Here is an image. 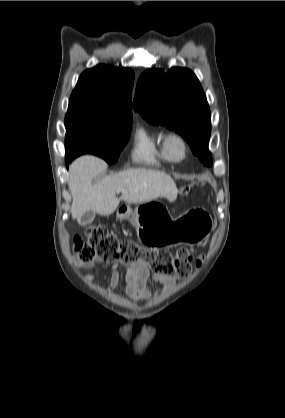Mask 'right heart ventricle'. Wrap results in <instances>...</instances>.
I'll list each match as a JSON object with an SVG mask.
<instances>
[{"mask_svg": "<svg viewBox=\"0 0 285 418\" xmlns=\"http://www.w3.org/2000/svg\"><path fill=\"white\" fill-rule=\"evenodd\" d=\"M162 135L145 127L136 129L133 136L131 158L136 163L160 166L168 162L163 150Z\"/></svg>", "mask_w": 285, "mask_h": 418, "instance_id": "right-heart-ventricle-1", "label": "right heart ventricle"}]
</instances>
